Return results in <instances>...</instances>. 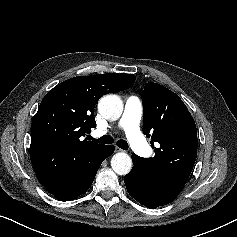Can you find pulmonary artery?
<instances>
[{
	"label": "pulmonary artery",
	"mask_w": 237,
	"mask_h": 237,
	"mask_svg": "<svg viewBox=\"0 0 237 237\" xmlns=\"http://www.w3.org/2000/svg\"><path fill=\"white\" fill-rule=\"evenodd\" d=\"M142 114L143 108L140 99L136 96L128 97L119 126L124 130L134 152L142 157H147L151 152V147L146 143L139 129ZM103 133L105 131L95 132L96 135Z\"/></svg>",
	"instance_id": "1"
}]
</instances>
